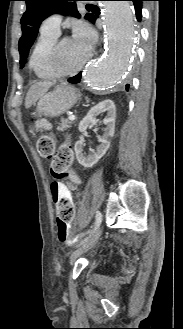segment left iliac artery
Segmentation results:
<instances>
[{"mask_svg":"<svg viewBox=\"0 0 183 329\" xmlns=\"http://www.w3.org/2000/svg\"><path fill=\"white\" fill-rule=\"evenodd\" d=\"M102 222V214L100 211L96 212V220H95V226H94V230L91 232V234L94 233V231L97 229V227L101 224Z\"/></svg>","mask_w":183,"mask_h":329,"instance_id":"1","label":"left iliac artery"}]
</instances>
